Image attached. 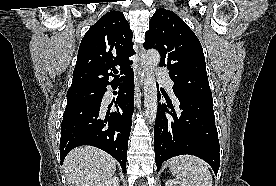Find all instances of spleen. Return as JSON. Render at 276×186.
Segmentation results:
<instances>
[{"label": "spleen", "instance_id": "spleen-1", "mask_svg": "<svg viewBox=\"0 0 276 186\" xmlns=\"http://www.w3.org/2000/svg\"><path fill=\"white\" fill-rule=\"evenodd\" d=\"M169 169L173 175L188 186H212V175L203 160L192 155H181L170 159Z\"/></svg>", "mask_w": 276, "mask_h": 186}]
</instances>
